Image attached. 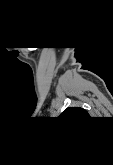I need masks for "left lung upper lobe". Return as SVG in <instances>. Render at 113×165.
Returning a JSON list of instances; mask_svg holds the SVG:
<instances>
[{"label":"left lung upper lobe","instance_id":"left-lung-upper-lobe-1","mask_svg":"<svg viewBox=\"0 0 113 165\" xmlns=\"http://www.w3.org/2000/svg\"><path fill=\"white\" fill-rule=\"evenodd\" d=\"M61 115L68 116V117H75L78 115L87 116L88 113L86 110H84L82 108H67L66 110H64V112Z\"/></svg>","mask_w":113,"mask_h":165}]
</instances>
